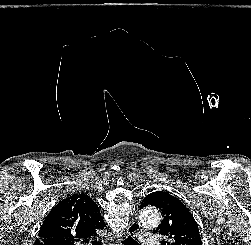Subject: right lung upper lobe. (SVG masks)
<instances>
[{"instance_id":"1","label":"right lung upper lobe","mask_w":251,"mask_h":245,"mask_svg":"<svg viewBox=\"0 0 251 245\" xmlns=\"http://www.w3.org/2000/svg\"><path fill=\"white\" fill-rule=\"evenodd\" d=\"M98 205L86 194H74L60 201L43 222L34 245H76L88 243L104 229Z\"/></svg>"}]
</instances>
